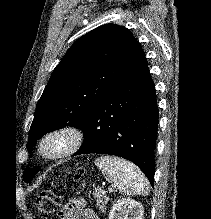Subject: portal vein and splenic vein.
I'll return each instance as SVG.
<instances>
[{
  "mask_svg": "<svg viewBox=\"0 0 211 219\" xmlns=\"http://www.w3.org/2000/svg\"><path fill=\"white\" fill-rule=\"evenodd\" d=\"M109 191H112V188H110V189H109ZM102 193L104 194L105 192H104V191H102Z\"/></svg>",
  "mask_w": 211,
  "mask_h": 219,
  "instance_id": "1",
  "label": "portal vein and splenic vein"
}]
</instances>
